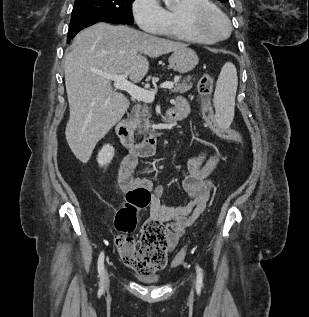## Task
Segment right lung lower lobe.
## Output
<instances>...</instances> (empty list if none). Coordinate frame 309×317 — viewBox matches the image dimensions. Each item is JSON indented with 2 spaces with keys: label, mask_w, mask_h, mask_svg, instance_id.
Returning <instances> with one entry per match:
<instances>
[{
  "label": "right lung lower lobe",
  "mask_w": 309,
  "mask_h": 317,
  "mask_svg": "<svg viewBox=\"0 0 309 317\" xmlns=\"http://www.w3.org/2000/svg\"><path fill=\"white\" fill-rule=\"evenodd\" d=\"M98 22H108V23H116L120 24L119 22L108 19V18H101V17H87V18H81L71 21L69 30H68V36H67V43L70 42V40L83 28L89 27L95 23Z\"/></svg>",
  "instance_id": "obj_1"
}]
</instances>
